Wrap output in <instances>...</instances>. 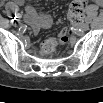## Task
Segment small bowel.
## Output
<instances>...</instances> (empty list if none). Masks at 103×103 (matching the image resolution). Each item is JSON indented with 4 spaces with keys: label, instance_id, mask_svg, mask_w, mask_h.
I'll list each match as a JSON object with an SVG mask.
<instances>
[{
    "label": "small bowel",
    "instance_id": "c3829d8e",
    "mask_svg": "<svg viewBox=\"0 0 103 103\" xmlns=\"http://www.w3.org/2000/svg\"><path fill=\"white\" fill-rule=\"evenodd\" d=\"M17 4L22 3L19 1ZM25 11L24 20L31 27L34 34H38L41 29L49 28L52 25L50 16L39 14L32 6H26Z\"/></svg>",
    "mask_w": 103,
    "mask_h": 103
}]
</instances>
